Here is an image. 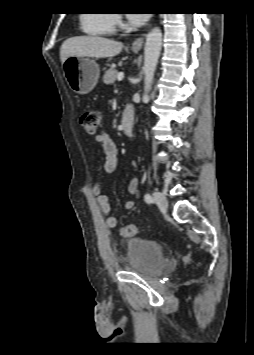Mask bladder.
<instances>
[{
    "instance_id": "31cf9c89",
    "label": "bladder",
    "mask_w": 254,
    "mask_h": 355,
    "mask_svg": "<svg viewBox=\"0 0 254 355\" xmlns=\"http://www.w3.org/2000/svg\"><path fill=\"white\" fill-rule=\"evenodd\" d=\"M127 269L147 277L157 276L165 266L164 250L155 241L144 238H131L127 242Z\"/></svg>"
}]
</instances>
